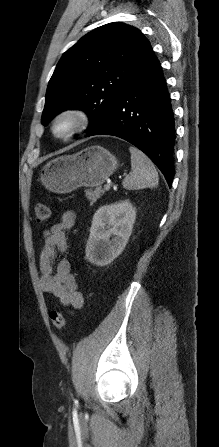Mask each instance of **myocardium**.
Wrapping results in <instances>:
<instances>
[{"mask_svg":"<svg viewBox=\"0 0 219 447\" xmlns=\"http://www.w3.org/2000/svg\"><path fill=\"white\" fill-rule=\"evenodd\" d=\"M89 114L79 108H69L62 110L54 116L50 124L51 133L59 139H67L84 131L90 124ZM60 123H66L67 129L63 132L57 130Z\"/></svg>","mask_w":219,"mask_h":447,"instance_id":"obj_1","label":"myocardium"}]
</instances>
